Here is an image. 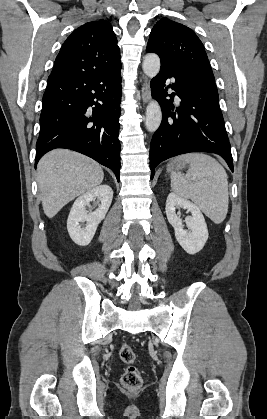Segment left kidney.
<instances>
[{
    "instance_id": "obj_1",
    "label": "left kidney",
    "mask_w": 267,
    "mask_h": 419,
    "mask_svg": "<svg viewBox=\"0 0 267 419\" xmlns=\"http://www.w3.org/2000/svg\"><path fill=\"white\" fill-rule=\"evenodd\" d=\"M176 207L186 209L191 213V216L185 218L189 231L184 230L182 219L175 212ZM165 209L167 219L174 227L175 237L180 246L191 255L199 252L208 239L207 225L199 207L187 199L170 193L167 197Z\"/></svg>"
}]
</instances>
